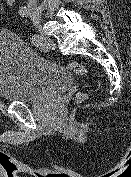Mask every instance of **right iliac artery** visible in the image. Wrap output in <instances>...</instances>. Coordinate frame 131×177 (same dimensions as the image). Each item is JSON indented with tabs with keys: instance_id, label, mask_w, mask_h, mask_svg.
Wrapping results in <instances>:
<instances>
[{
	"instance_id": "82829eb1",
	"label": "right iliac artery",
	"mask_w": 131,
	"mask_h": 177,
	"mask_svg": "<svg viewBox=\"0 0 131 177\" xmlns=\"http://www.w3.org/2000/svg\"><path fill=\"white\" fill-rule=\"evenodd\" d=\"M19 14H20L21 17H27L28 16V9L26 8V6H22V7L19 8ZM32 43L35 46L40 47L43 51L48 50V46L43 43L42 38L39 37V35H37V34H34L32 36Z\"/></svg>"
}]
</instances>
